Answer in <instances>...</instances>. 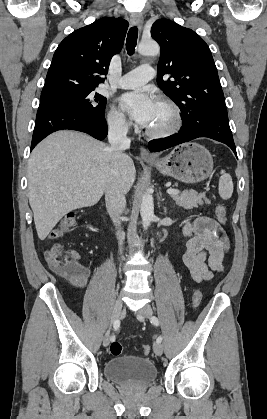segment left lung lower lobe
<instances>
[{
  "label": "left lung lower lobe",
  "instance_id": "0a47b994",
  "mask_svg": "<svg viewBox=\"0 0 267 419\" xmlns=\"http://www.w3.org/2000/svg\"><path fill=\"white\" fill-rule=\"evenodd\" d=\"M199 137H208L222 142L228 145L237 156L228 123L227 110H214L196 114L193 118L182 122V127L178 133L152 140L148 143V147L151 152H158Z\"/></svg>",
  "mask_w": 267,
  "mask_h": 419
}]
</instances>
